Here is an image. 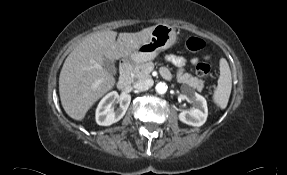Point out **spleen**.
I'll return each instance as SVG.
<instances>
[{"label":"spleen","instance_id":"obj_1","mask_svg":"<svg viewBox=\"0 0 287 175\" xmlns=\"http://www.w3.org/2000/svg\"><path fill=\"white\" fill-rule=\"evenodd\" d=\"M232 89V76L229 64L226 59L220 60V77L218 79V86L213 94L214 103L221 109H225Z\"/></svg>","mask_w":287,"mask_h":175}]
</instances>
